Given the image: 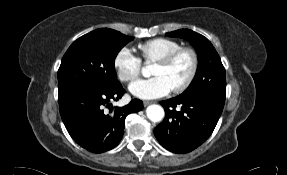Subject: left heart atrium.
Here are the masks:
<instances>
[{
	"label": "left heart atrium",
	"instance_id": "left-heart-atrium-1",
	"mask_svg": "<svg viewBox=\"0 0 287 175\" xmlns=\"http://www.w3.org/2000/svg\"><path fill=\"white\" fill-rule=\"evenodd\" d=\"M130 92L141 99H155L166 96L172 91V87L163 76L157 75L148 79L134 81L130 87Z\"/></svg>",
	"mask_w": 287,
	"mask_h": 175
}]
</instances>
